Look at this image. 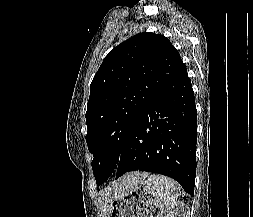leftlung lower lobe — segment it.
<instances>
[{
  "label": "left lung lower lobe",
  "instance_id": "1",
  "mask_svg": "<svg viewBox=\"0 0 253 217\" xmlns=\"http://www.w3.org/2000/svg\"><path fill=\"white\" fill-rule=\"evenodd\" d=\"M197 111L186 66L133 124L121 152L116 179L134 170L178 181L194 194Z\"/></svg>",
  "mask_w": 253,
  "mask_h": 217
}]
</instances>
